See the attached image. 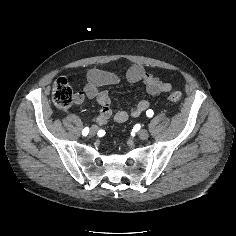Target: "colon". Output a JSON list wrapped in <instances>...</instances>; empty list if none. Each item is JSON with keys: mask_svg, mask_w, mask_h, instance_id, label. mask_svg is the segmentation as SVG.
Returning a JSON list of instances; mask_svg holds the SVG:
<instances>
[{"mask_svg": "<svg viewBox=\"0 0 236 236\" xmlns=\"http://www.w3.org/2000/svg\"><path fill=\"white\" fill-rule=\"evenodd\" d=\"M52 98L54 104L60 109L69 108L74 101V94L68 81L65 78L57 79L52 87ZM182 93L180 91L171 92L167 99L172 103H177L181 100Z\"/></svg>", "mask_w": 236, "mask_h": 236, "instance_id": "colon-1", "label": "colon"}]
</instances>
